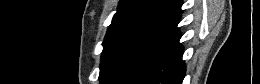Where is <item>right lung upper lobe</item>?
Instances as JSON below:
<instances>
[{"instance_id":"1","label":"right lung upper lobe","mask_w":260,"mask_h":84,"mask_svg":"<svg viewBox=\"0 0 260 84\" xmlns=\"http://www.w3.org/2000/svg\"><path fill=\"white\" fill-rule=\"evenodd\" d=\"M181 6V0H121L106 37L133 26L177 28Z\"/></svg>"}]
</instances>
